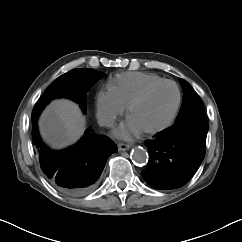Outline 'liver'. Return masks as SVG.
Listing matches in <instances>:
<instances>
[{"label": "liver", "mask_w": 242, "mask_h": 242, "mask_svg": "<svg viewBox=\"0 0 242 242\" xmlns=\"http://www.w3.org/2000/svg\"><path fill=\"white\" fill-rule=\"evenodd\" d=\"M84 124L78 106L68 100L54 101L40 119L43 136L57 146L77 141L84 132Z\"/></svg>", "instance_id": "liver-1"}]
</instances>
